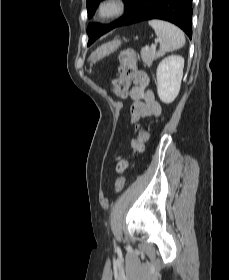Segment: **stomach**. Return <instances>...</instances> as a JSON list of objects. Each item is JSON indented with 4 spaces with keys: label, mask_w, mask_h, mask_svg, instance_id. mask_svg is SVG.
I'll return each instance as SVG.
<instances>
[{
    "label": "stomach",
    "mask_w": 229,
    "mask_h": 280,
    "mask_svg": "<svg viewBox=\"0 0 229 280\" xmlns=\"http://www.w3.org/2000/svg\"><path fill=\"white\" fill-rule=\"evenodd\" d=\"M121 45V41L116 39L111 42H108L106 44H103L98 49H96L94 52L91 53L88 60L91 63H95L96 61L100 60L101 58L111 54L114 52L118 47Z\"/></svg>",
    "instance_id": "1"
}]
</instances>
